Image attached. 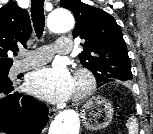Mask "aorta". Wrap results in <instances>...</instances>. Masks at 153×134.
<instances>
[{
    "mask_svg": "<svg viewBox=\"0 0 153 134\" xmlns=\"http://www.w3.org/2000/svg\"><path fill=\"white\" fill-rule=\"evenodd\" d=\"M47 26L52 33L67 32L73 28L74 18L68 10L57 9L49 14ZM79 130L77 113L73 110H64L51 123L48 134H79Z\"/></svg>",
    "mask_w": 153,
    "mask_h": 134,
    "instance_id": "aorta-1",
    "label": "aorta"
}]
</instances>
